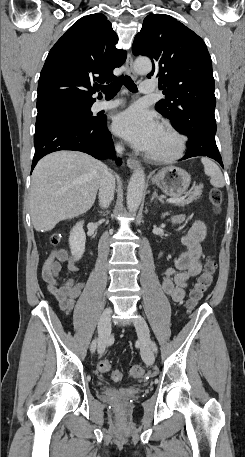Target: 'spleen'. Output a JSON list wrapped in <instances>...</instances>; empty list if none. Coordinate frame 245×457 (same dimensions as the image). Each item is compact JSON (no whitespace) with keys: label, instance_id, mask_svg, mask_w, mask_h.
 I'll return each mask as SVG.
<instances>
[{"label":"spleen","instance_id":"obj_1","mask_svg":"<svg viewBox=\"0 0 245 457\" xmlns=\"http://www.w3.org/2000/svg\"><path fill=\"white\" fill-rule=\"evenodd\" d=\"M201 162L202 164H204L205 174L211 176V184H213V186H224V176L219 166H217L216 162H213V160H211V158H208V156H202Z\"/></svg>","mask_w":245,"mask_h":457}]
</instances>
